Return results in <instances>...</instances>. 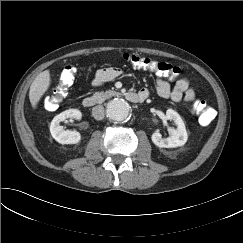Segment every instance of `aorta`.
Returning a JSON list of instances; mask_svg holds the SVG:
<instances>
[{
  "instance_id": "obj_1",
  "label": "aorta",
  "mask_w": 243,
  "mask_h": 243,
  "mask_svg": "<svg viewBox=\"0 0 243 243\" xmlns=\"http://www.w3.org/2000/svg\"><path fill=\"white\" fill-rule=\"evenodd\" d=\"M130 111L129 104L120 98H115L107 104L106 114L112 121H123L125 120Z\"/></svg>"
}]
</instances>
